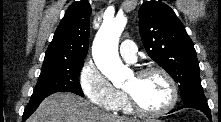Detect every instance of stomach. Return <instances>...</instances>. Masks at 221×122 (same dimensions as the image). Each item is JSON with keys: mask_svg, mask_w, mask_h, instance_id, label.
I'll return each mask as SVG.
<instances>
[{"mask_svg": "<svg viewBox=\"0 0 221 122\" xmlns=\"http://www.w3.org/2000/svg\"><path fill=\"white\" fill-rule=\"evenodd\" d=\"M146 122H163L161 120H156V119H150V120H147Z\"/></svg>", "mask_w": 221, "mask_h": 122, "instance_id": "0dacf381", "label": "stomach"}]
</instances>
